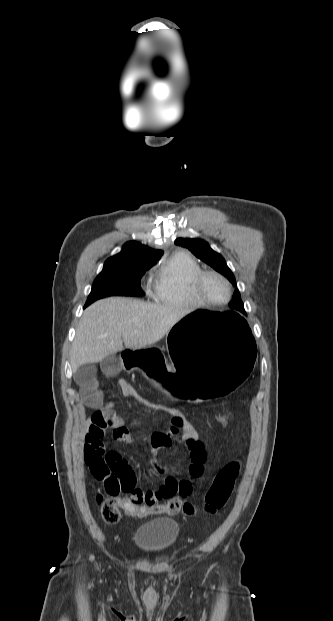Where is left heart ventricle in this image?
Returning <instances> with one entry per match:
<instances>
[{
    "label": "left heart ventricle",
    "instance_id": "left-heart-ventricle-1",
    "mask_svg": "<svg viewBox=\"0 0 333 621\" xmlns=\"http://www.w3.org/2000/svg\"><path fill=\"white\" fill-rule=\"evenodd\" d=\"M203 294L212 301H222L227 296V288L220 279L209 276L202 285Z\"/></svg>",
    "mask_w": 333,
    "mask_h": 621
}]
</instances>
